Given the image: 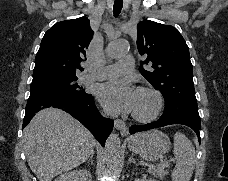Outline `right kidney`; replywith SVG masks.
<instances>
[{
  "label": "right kidney",
  "mask_w": 228,
  "mask_h": 181,
  "mask_svg": "<svg viewBox=\"0 0 228 181\" xmlns=\"http://www.w3.org/2000/svg\"><path fill=\"white\" fill-rule=\"evenodd\" d=\"M55 181H92V175L89 171H67Z\"/></svg>",
  "instance_id": "ca27d5eb"
}]
</instances>
